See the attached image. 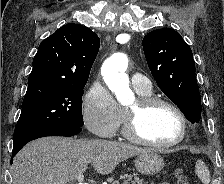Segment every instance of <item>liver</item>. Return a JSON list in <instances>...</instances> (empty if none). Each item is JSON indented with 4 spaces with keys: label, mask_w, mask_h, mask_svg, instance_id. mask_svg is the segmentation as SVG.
Returning a JSON list of instances; mask_svg holds the SVG:
<instances>
[{
    "label": "liver",
    "mask_w": 224,
    "mask_h": 184,
    "mask_svg": "<svg viewBox=\"0 0 224 184\" xmlns=\"http://www.w3.org/2000/svg\"><path fill=\"white\" fill-rule=\"evenodd\" d=\"M150 150L102 139L44 137L25 145L12 164L13 184H68L89 164L101 175Z\"/></svg>",
    "instance_id": "6515ba94"
}]
</instances>
